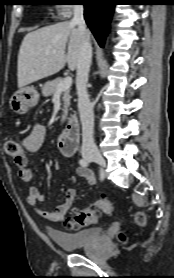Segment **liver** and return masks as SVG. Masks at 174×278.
<instances>
[{
  "mask_svg": "<svg viewBox=\"0 0 174 278\" xmlns=\"http://www.w3.org/2000/svg\"><path fill=\"white\" fill-rule=\"evenodd\" d=\"M80 44V31L68 21L26 34L18 54V87L24 88L53 75L66 63L70 70H75L80 56Z\"/></svg>",
  "mask_w": 174,
  "mask_h": 278,
  "instance_id": "6515ba94",
  "label": "liver"
}]
</instances>
